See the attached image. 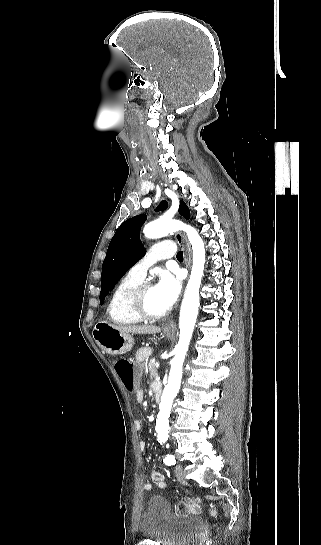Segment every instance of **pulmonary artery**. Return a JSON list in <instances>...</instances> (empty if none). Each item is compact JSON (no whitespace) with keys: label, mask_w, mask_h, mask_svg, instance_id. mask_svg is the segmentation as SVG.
Returning a JSON list of instances; mask_svg holds the SVG:
<instances>
[{"label":"pulmonary artery","mask_w":321,"mask_h":545,"mask_svg":"<svg viewBox=\"0 0 321 545\" xmlns=\"http://www.w3.org/2000/svg\"><path fill=\"white\" fill-rule=\"evenodd\" d=\"M155 250L149 252V257H144L135 263L128 271L132 277L143 280L146 276L147 269L157 261H171L176 254V249L173 248L171 241H156Z\"/></svg>","instance_id":"obj_1"}]
</instances>
